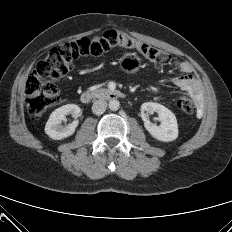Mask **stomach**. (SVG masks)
<instances>
[{"label": "stomach", "mask_w": 232, "mask_h": 232, "mask_svg": "<svg viewBox=\"0 0 232 232\" xmlns=\"http://www.w3.org/2000/svg\"><path fill=\"white\" fill-rule=\"evenodd\" d=\"M140 67V58L136 54L128 53L121 59V68L127 72H136Z\"/></svg>", "instance_id": "stomach-1"}]
</instances>
